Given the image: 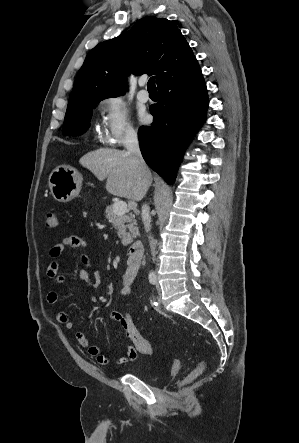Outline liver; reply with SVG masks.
<instances>
[{
  "mask_svg": "<svg viewBox=\"0 0 299 443\" xmlns=\"http://www.w3.org/2000/svg\"><path fill=\"white\" fill-rule=\"evenodd\" d=\"M99 180H106V190L118 197L140 201L151 184L152 176L147 167L141 173L132 157L125 151L100 148L86 153L79 160Z\"/></svg>",
  "mask_w": 299,
  "mask_h": 443,
  "instance_id": "1",
  "label": "liver"
}]
</instances>
